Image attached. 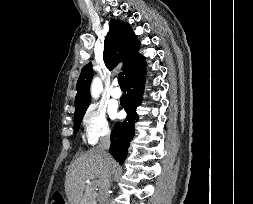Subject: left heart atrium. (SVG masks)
Listing matches in <instances>:
<instances>
[{"label":"left heart atrium","mask_w":253,"mask_h":204,"mask_svg":"<svg viewBox=\"0 0 253 204\" xmlns=\"http://www.w3.org/2000/svg\"><path fill=\"white\" fill-rule=\"evenodd\" d=\"M117 115H118L117 112H116L115 110H113V111H112V116H113V117H117Z\"/></svg>","instance_id":"left-heart-atrium-1"}]
</instances>
